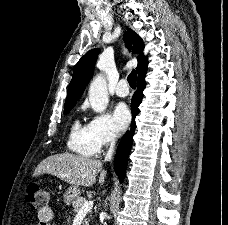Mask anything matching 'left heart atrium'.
<instances>
[{
  "instance_id": "39dd6f15",
  "label": "left heart atrium",
  "mask_w": 228,
  "mask_h": 225,
  "mask_svg": "<svg viewBox=\"0 0 228 225\" xmlns=\"http://www.w3.org/2000/svg\"><path fill=\"white\" fill-rule=\"evenodd\" d=\"M112 119L118 131L126 129L131 119L127 106L123 104L117 105L113 111Z\"/></svg>"
}]
</instances>
